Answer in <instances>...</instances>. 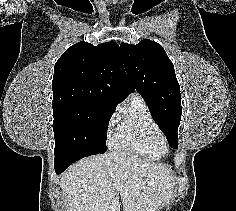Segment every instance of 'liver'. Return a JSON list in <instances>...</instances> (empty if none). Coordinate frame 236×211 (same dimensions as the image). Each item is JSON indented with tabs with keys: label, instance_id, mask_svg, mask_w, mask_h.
I'll return each instance as SVG.
<instances>
[{
	"label": "liver",
	"instance_id": "obj_1",
	"mask_svg": "<svg viewBox=\"0 0 236 211\" xmlns=\"http://www.w3.org/2000/svg\"><path fill=\"white\" fill-rule=\"evenodd\" d=\"M174 186L168 168L126 152L83 159L60 183L68 211H120V198L123 211H157Z\"/></svg>",
	"mask_w": 236,
	"mask_h": 211
}]
</instances>
